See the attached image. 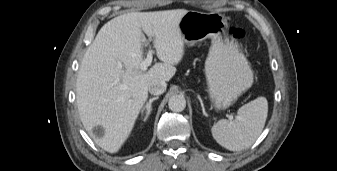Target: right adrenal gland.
<instances>
[{
  "label": "right adrenal gland",
  "mask_w": 337,
  "mask_h": 171,
  "mask_svg": "<svg viewBox=\"0 0 337 171\" xmlns=\"http://www.w3.org/2000/svg\"><path fill=\"white\" fill-rule=\"evenodd\" d=\"M158 98H159L158 96L151 98L149 100V102H147L146 105L142 108V110H141L142 115H143L144 111H146V115L144 116L143 121H146L147 118H148V116L151 113V110H152L151 104H152V102L155 101V100H157Z\"/></svg>",
  "instance_id": "obj_1"
}]
</instances>
